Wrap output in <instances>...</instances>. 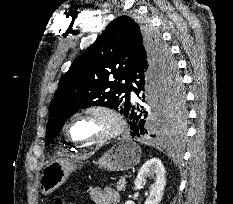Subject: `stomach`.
Wrapping results in <instances>:
<instances>
[{
	"label": "stomach",
	"mask_w": 233,
	"mask_h": 204,
	"mask_svg": "<svg viewBox=\"0 0 233 204\" xmlns=\"http://www.w3.org/2000/svg\"><path fill=\"white\" fill-rule=\"evenodd\" d=\"M141 158L140 147L130 140L120 141L106 151L96 162L99 168L108 171H126L135 167ZM76 169V164L67 159H56L49 162L42 170L39 189L47 195L60 187Z\"/></svg>",
	"instance_id": "obj_1"
}]
</instances>
